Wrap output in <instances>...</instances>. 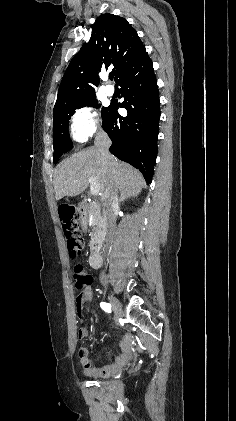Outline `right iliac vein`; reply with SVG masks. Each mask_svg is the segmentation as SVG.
<instances>
[{
  "label": "right iliac vein",
  "instance_id": "63e3f726",
  "mask_svg": "<svg viewBox=\"0 0 236 421\" xmlns=\"http://www.w3.org/2000/svg\"><path fill=\"white\" fill-rule=\"evenodd\" d=\"M110 302H111V304H112V306H113V310H114V312H115V314H116V316H117V318H120V317H122V306H121V304H120V302H119V300L118 299H116L115 297H113V296H110Z\"/></svg>",
  "mask_w": 236,
  "mask_h": 421
}]
</instances>
